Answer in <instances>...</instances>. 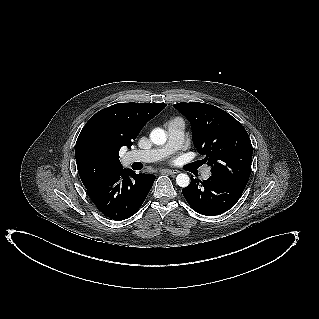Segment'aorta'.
Listing matches in <instances>:
<instances>
[{
	"label": "aorta",
	"instance_id": "aorta-1",
	"mask_svg": "<svg viewBox=\"0 0 319 319\" xmlns=\"http://www.w3.org/2000/svg\"><path fill=\"white\" fill-rule=\"evenodd\" d=\"M150 140L156 145H163L167 140V135L163 129L155 128L150 133ZM176 183L180 187H187L190 183L189 176L184 173L178 174L176 177Z\"/></svg>",
	"mask_w": 319,
	"mask_h": 319
}]
</instances>
